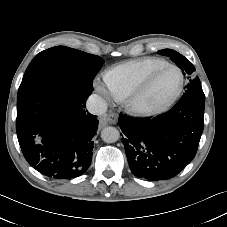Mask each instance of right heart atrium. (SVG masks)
Listing matches in <instances>:
<instances>
[{"label":"right heart atrium","instance_id":"1","mask_svg":"<svg viewBox=\"0 0 227 227\" xmlns=\"http://www.w3.org/2000/svg\"><path fill=\"white\" fill-rule=\"evenodd\" d=\"M98 92H100L105 98L111 99V98H115V96L113 95V93L110 91V89L104 85H97L96 86Z\"/></svg>","mask_w":227,"mask_h":227}]
</instances>
